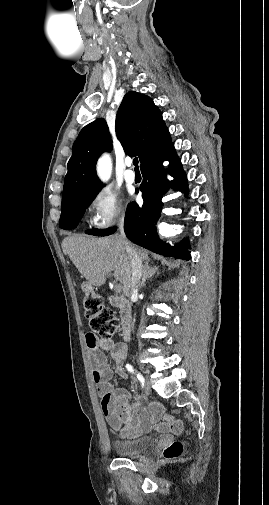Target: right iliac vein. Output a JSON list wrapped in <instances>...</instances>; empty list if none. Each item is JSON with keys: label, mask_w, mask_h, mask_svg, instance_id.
I'll list each match as a JSON object with an SVG mask.
<instances>
[{"label": "right iliac vein", "mask_w": 269, "mask_h": 505, "mask_svg": "<svg viewBox=\"0 0 269 505\" xmlns=\"http://www.w3.org/2000/svg\"><path fill=\"white\" fill-rule=\"evenodd\" d=\"M142 382L144 383L143 389L146 390L147 393L151 392V385L152 382L150 380H147L145 376H142Z\"/></svg>", "instance_id": "1"}]
</instances>
